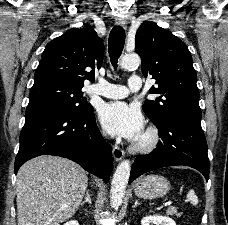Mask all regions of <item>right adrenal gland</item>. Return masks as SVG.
Returning a JSON list of instances; mask_svg holds the SVG:
<instances>
[{"label": "right adrenal gland", "instance_id": "obj_1", "mask_svg": "<svg viewBox=\"0 0 228 225\" xmlns=\"http://www.w3.org/2000/svg\"><path fill=\"white\" fill-rule=\"evenodd\" d=\"M85 203H89V205H92L91 195H89L88 191H86L85 201H82V203H80L81 207L82 205H85Z\"/></svg>", "mask_w": 228, "mask_h": 225}]
</instances>
